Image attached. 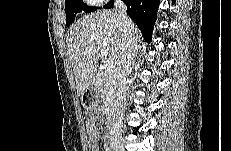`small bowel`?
Returning <instances> with one entry per match:
<instances>
[{
  "label": "small bowel",
  "instance_id": "1",
  "mask_svg": "<svg viewBox=\"0 0 231 151\" xmlns=\"http://www.w3.org/2000/svg\"><path fill=\"white\" fill-rule=\"evenodd\" d=\"M97 115H92L86 123L90 151H100L98 146L99 130L96 127Z\"/></svg>",
  "mask_w": 231,
  "mask_h": 151
}]
</instances>
